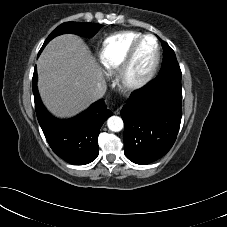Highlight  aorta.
Returning a JSON list of instances; mask_svg holds the SVG:
<instances>
[{"instance_id":"aorta-1","label":"aorta","mask_w":227,"mask_h":227,"mask_svg":"<svg viewBox=\"0 0 227 227\" xmlns=\"http://www.w3.org/2000/svg\"><path fill=\"white\" fill-rule=\"evenodd\" d=\"M107 126L109 128V130L113 131V132H119L123 129V120L118 117V116H111L108 120H107Z\"/></svg>"}]
</instances>
